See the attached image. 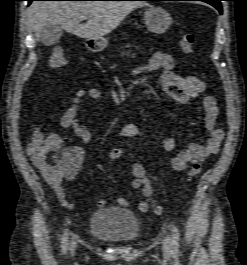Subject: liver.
Here are the masks:
<instances>
[{
    "instance_id": "liver-1",
    "label": "liver",
    "mask_w": 247,
    "mask_h": 265,
    "mask_svg": "<svg viewBox=\"0 0 247 265\" xmlns=\"http://www.w3.org/2000/svg\"><path fill=\"white\" fill-rule=\"evenodd\" d=\"M146 5L141 1H34L28 9V20L37 40L46 24L98 40L118 27L133 10ZM81 16L87 17L86 24L79 23Z\"/></svg>"
}]
</instances>
